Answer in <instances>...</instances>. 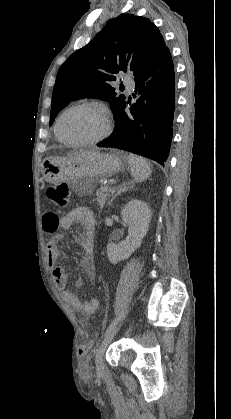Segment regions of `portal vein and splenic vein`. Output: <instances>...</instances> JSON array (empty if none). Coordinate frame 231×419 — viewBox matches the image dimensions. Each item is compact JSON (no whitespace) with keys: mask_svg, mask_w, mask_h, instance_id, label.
Returning a JSON list of instances; mask_svg holds the SVG:
<instances>
[{"mask_svg":"<svg viewBox=\"0 0 231 419\" xmlns=\"http://www.w3.org/2000/svg\"><path fill=\"white\" fill-rule=\"evenodd\" d=\"M102 190H108V186L102 187Z\"/></svg>","mask_w":231,"mask_h":419,"instance_id":"18ae733b","label":"portal vein and splenic vein"}]
</instances>
